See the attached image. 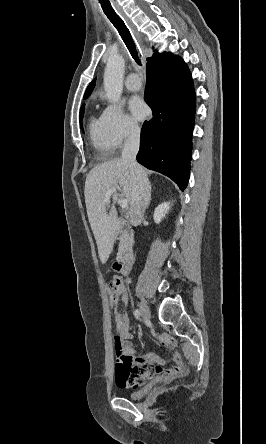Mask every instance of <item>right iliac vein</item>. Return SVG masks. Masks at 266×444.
Masks as SVG:
<instances>
[{"label":"right iliac vein","mask_w":266,"mask_h":444,"mask_svg":"<svg viewBox=\"0 0 266 444\" xmlns=\"http://www.w3.org/2000/svg\"><path fill=\"white\" fill-rule=\"evenodd\" d=\"M140 315L144 321H147L150 318V311L144 300H141L140 302Z\"/></svg>","instance_id":"63e3f726"}]
</instances>
